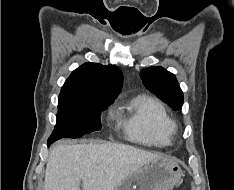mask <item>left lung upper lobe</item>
Masks as SVG:
<instances>
[{"label": "left lung upper lobe", "instance_id": "5c2ea615", "mask_svg": "<svg viewBox=\"0 0 234 190\" xmlns=\"http://www.w3.org/2000/svg\"><path fill=\"white\" fill-rule=\"evenodd\" d=\"M143 84L174 110L183 105V92L174 74L162 67L155 66L143 69L140 73Z\"/></svg>", "mask_w": 234, "mask_h": 190}]
</instances>
